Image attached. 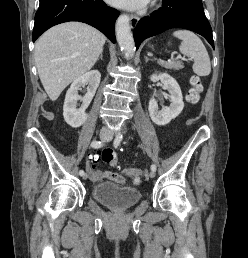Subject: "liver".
<instances>
[{"mask_svg": "<svg viewBox=\"0 0 248 258\" xmlns=\"http://www.w3.org/2000/svg\"><path fill=\"white\" fill-rule=\"evenodd\" d=\"M105 41L106 37L100 31L80 22L56 25L37 40L35 63L41 83L52 101L94 66Z\"/></svg>", "mask_w": 248, "mask_h": 258, "instance_id": "liver-1", "label": "liver"}]
</instances>
